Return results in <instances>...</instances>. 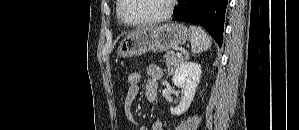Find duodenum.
<instances>
[{"label":"duodenum","mask_w":299,"mask_h":130,"mask_svg":"<svg viewBox=\"0 0 299 130\" xmlns=\"http://www.w3.org/2000/svg\"><path fill=\"white\" fill-rule=\"evenodd\" d=\"M156 97V96H155ZM155 97H153V96H150L149 97V100H154L155 99Z\"/></svg>","instance_id":"obj_1"}]
</instances>
